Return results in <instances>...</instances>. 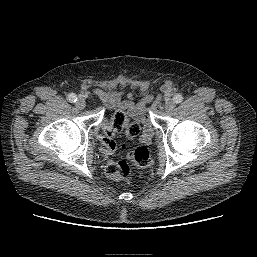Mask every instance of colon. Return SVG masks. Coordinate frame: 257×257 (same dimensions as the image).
<instances>
[{
	"label": "colon",
	"instance_id": "colon-1",
	"mask_svg": "<svg viewBox=\"0 0 257 257\" xmlns=\"http://www.w3.org/2000/svg\"><path fill=\"white\" fill-rule=\"evenodd\" d=\"M120 132L132 139L140 133V126L135 122H130L124 112L115 113L111 119H107L104 123L103 134L100 137L104 151L112 152L115 149L116 143L113 136ZM127 156L128 160L119 159L108 164L106 172L109 177L117 180H128L132 172L131 163L139 167H147L152 162L151 154L145 147L130 149Z\"/></svg>",
	"mask_w": 257,
	"mask_h": 257
}]
</instances>
